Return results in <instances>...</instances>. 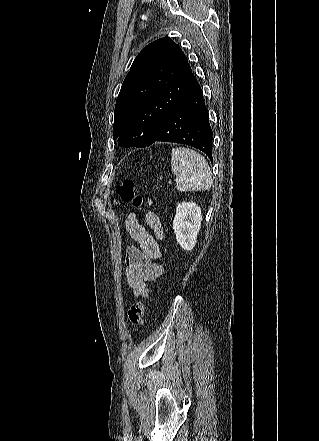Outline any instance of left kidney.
<instances>
[{"instance_id":"5707ae66","label":"left kidney","mask_w":319,"mask_h":441,"mask_svg":"<svg viewBox=\"0 0 319 441\" xmlns=\"http://www.w3.org/2000/svg\"><path fill=\"white\" fill-rule=\"evenodd\" d=\"M201 222L202 214L199 206L193 202L178 204L173 221V230L177 243L182 249L190 251L194 248Z\"/></svg>"}]
</instances>
